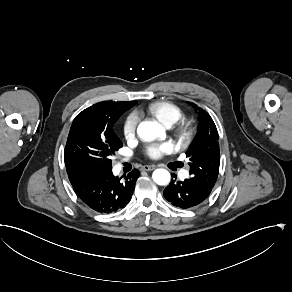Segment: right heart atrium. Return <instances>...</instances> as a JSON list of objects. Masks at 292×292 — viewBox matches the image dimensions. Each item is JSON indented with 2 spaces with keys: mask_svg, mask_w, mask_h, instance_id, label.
Listing matches in <instances>:
<instances>
[{
  "mask_svg": "<svg viewBox=\"0 0 292 292\" xmlns=\"http://www.w3.org/2000/svg\"><path fill=\"white\" fill-rule=\"evenodd\" d=\"M138 125V115L130 112L122 120L121 132L127 143H131L136 139Z\"/></svg>",
  "mask_w": 292,
  "mask_h": 292,
  "instance_id": "obj_1",
  "label": "right heart atrium"
}]
</instances>
